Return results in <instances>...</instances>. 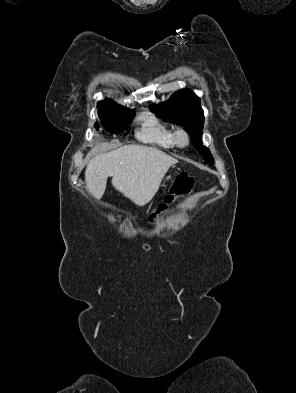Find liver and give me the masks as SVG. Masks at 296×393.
Returning <instances> with one entry per match:
<instances>
[{"label":"liver","instance_id":"obj_1","mask_svg":"<svg viewBox=\"0 0 296 393\" xmlns=\"http://www.w3.org/2000/svg\"><path fill=\"white\" fill-rule=\"evenodd\" d=\"M177 162L154 147L125 145L89 161L85 170L86 188L99 200L108 177H112L116 190L143 206L155 196L168 169Z\"/></svg>","mask_w":296,"mask_h":393}]
</instances>
